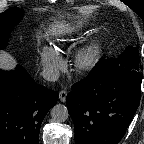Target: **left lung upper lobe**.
Here are the masks:
<instances>
[{"mask_svg": "<svg viewBox=\"0 0 144 144\" xmlns=\"http://www.w3.org/2000/svg\"><path fill=\"white\" fill-rule=\"evenodd\" d=\"M105 65L107 72L120 68L139 71L138 49L128 46L118 58L108 60Z\"/></svg>", "mask_w": 144, "mask_h": 144, "instance_id": "left-lung-upper-lobe-1", "label": "left lung upper lobe"}]
</instances>
